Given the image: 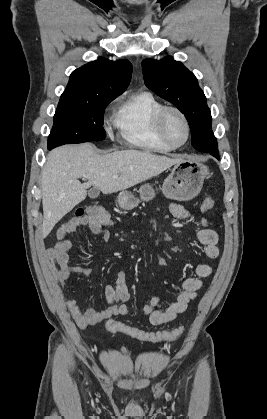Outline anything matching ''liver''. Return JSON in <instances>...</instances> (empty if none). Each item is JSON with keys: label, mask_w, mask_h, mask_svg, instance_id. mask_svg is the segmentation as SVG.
<instances>
[{"label": "liver", "mask_w": 267, "mask_h": 419, "mask_svg": "<svg viewBox=\"0 0 267 419\" xmlns=\"http://www.w3.org/2000/svg\"><path fill=\"white\" fill-rule=\"evenodd\" d=\"M180 161L181 158L133 149L99 155L91 143L52 150L41 174L43 237L85 200L90 186L97 187L103 194L115 193L148 180ZM79 178L88 182L82 184Z\"/></svg>", "instance_id": "liver-1"}]
</instances>
